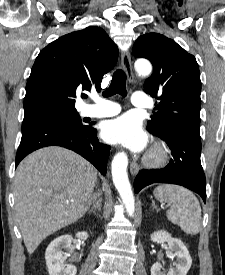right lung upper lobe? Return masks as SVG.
<instances>
[{
  "mask_svg": "<svg viewBox=\"0 0 225 275\" xmlns=\"http://www.w3.org/2000/svg\"><path fill=\"white\" fill-rule=\"evenodd\" d=\"M117 58V46L99 27L72 32L50 43L37 56L27 81L24 117L76 110L78 90L99 88Z\"/></svg>",
  "mask_w": 225,
  "mask_h": 275,
  "instance_id": "right-lung-upper-lobe-1",
  "label": "right lung upper lobe"
}]
</instances>
